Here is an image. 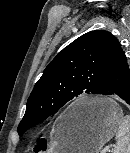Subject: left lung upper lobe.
<instances>
[{"label":"left lung upper lobe","mask_w":130,"mask_h":153,"mask_svg":"<svg viewBox=\"0 0 130 153\" xmlns=\"http://www.w3.org/2000/svg\"><path fill=\"white\" fill-rule=\"evenodd\" d=\"M120 48L118 40L104 30L83 34L65 47L35 84L17 129L19 135L79 95L99 94L107 69Z\"/></svg>","instance_id":"obj_1"}]
</instances>
